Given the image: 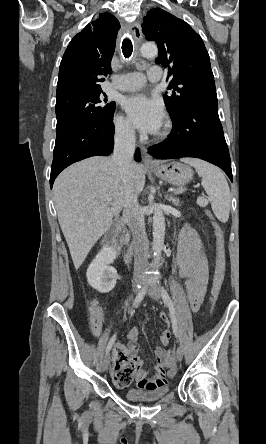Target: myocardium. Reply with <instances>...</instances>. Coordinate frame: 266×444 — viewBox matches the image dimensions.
Instances as JSON below:
<instances>
[{
	"label": "myocardium",
	"mask_w": 266,
	"mask_h": 444,
	"mask_svg": "<svg viewBox=\"0 0 266 444\" xmlns=\"http://www.w3.org/2000/svg\"><path fill=\"white\" fill-rule=\"evenodd\" d=\"M169 129L165 127L161 132L157 134V139H163L168 135Z\"/></svg>",
	"instance_id": "1"
}]
</instances>
